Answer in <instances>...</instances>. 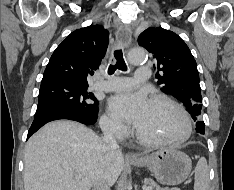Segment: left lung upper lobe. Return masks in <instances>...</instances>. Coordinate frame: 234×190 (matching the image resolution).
I'll list each match as a JSON object with an SVG mask.
<instances>
[{
  "label": "left lung upper lobe",
  "instance_id": "5c2ea615",
  "mask_svg": "<svg viewBox=\"0 0 234 190\" xmlns=\"http://www.w3.org/2000/svg\"><path fill=\"white\" fill-rule=\"evenodd\" d=\"M138 44L153 54L154 68L158 70L156 78L162 86L161 90L184 104L196 122V131L204 134L199 73L186 43L170 30L150 27L139 35Z\"/></svg>",
  "mask_w": 234,
  "mask_h": 190
}]
</instances>
